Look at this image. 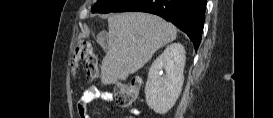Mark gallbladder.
I'll return each mask as SVG.
<instances>
[{
	"label": "gallbladder",
	"mask_w": 273,
	"mask_h": 118,
	"mask_svg": "<svg viewBox=\"0 0 273 118\" xmlns=\"http://www.w3.org/2000/svg\"><path fill=\"white\" fill-rule=\"evenodd\" d=\"M104 50H105V51L108 50L107 43L104 44Z\"/></svg>",
	"instance_id": "obj_1"
}]
</instances>
